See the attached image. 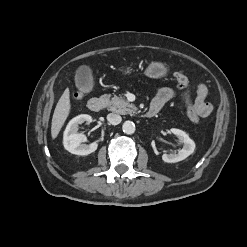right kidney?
<instances>
[{
  "mask_svg": "<svg viewBox=\"0 0 247 247\" xmlns=\"http://www.w3.org/2000/svg\"><path fill=\"white\" fill-rule=\"evenodd\" d=\"M87 122H92V117L88 114H81L73 118L67 125L64 136H63V144L67 151L75 155H88L96 151L98 147L97 142H93L91 144H82V142L86 141V137L82 133H78L79 125Z\"/></svg>",
  "mask_w": 247,
  "mask_h": 247,
  "instance_id": "right-kidney-1",
  "label": "right kidney"
}]
</instances>
